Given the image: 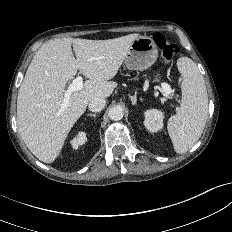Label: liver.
Masks as SVG:
<instances>
[{
	"instance_id": "liver-1",
	"label": "liver",
	"mask_w": 232,
	"mask_h": 232,
	"mask_svg": "<svg viewBox=\"0 0 232 232\" xmlns=\"http://www.w3.org/2000/svg\"><path fill=\"white\" fill-rule=\"evenodd\" d=\"M138 37L135 33L108 40L61 38L40 47L17 98L18 131L36 158L52 163L88 103L112 94L116 83L109 80L115 77ZM77 70L88 80L82 90L71 94L68 106L62 110L66 83Z\"/></svg>"
}]
</instances>
